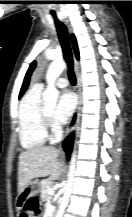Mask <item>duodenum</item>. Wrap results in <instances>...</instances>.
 Masks as SVG:
<instances>
[{
	"mask_svg": "<svg viewBox=\"0 0 132 217\" xmlns=\"http://www.w3.org/2000/svg\"><path fill=\"white\" fill-rule=\"evenodd\" d=\"M49 217H54V214H53V213H50Z\"/></svg>",
	"mask_w": 132,
	"mask_h": 217,
	"instance_id": "410a0bca",
	"label": "duodenum"
}]
</instances>
